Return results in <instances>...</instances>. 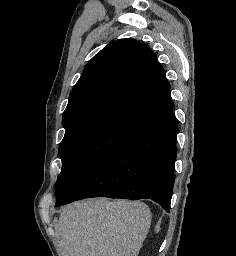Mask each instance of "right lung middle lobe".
Here are the masks:
<instances>
[{"instance_id": "dd1d6c3e", "label": "right lung middle lobe", "mask_w": 236, "mask_h": 256, "mask_svg": "<svg viewBox=\"0 0 236 256\" xmlns=\"http://www.w3.org/2000/svg\"><path fill=\"white\" fill-rule=\"evenodd\" d=\"M146 124L129 113L112 112L66 128L59 147L62 170L57 178L56 202L67 199L106 157Z\"/></svg>"}]
</instances>
